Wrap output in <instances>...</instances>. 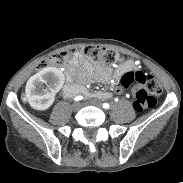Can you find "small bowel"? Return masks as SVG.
<instances>
[{
  "label": "small bowel",
  "mask_w": 183,
  "mask_h": 183,
  "mask_svg": "<svg viewBox=\"0 0 183 183\" xmlns=\"http://www.w3.org/2000/svg\"><path fill=\"white\" fill-rule=\"evenodd\" d=\"M81 67V75L84 82H88L91 79H102V80H109L113 76L114 77H121L126 72H139L134 62L129 61L125 65L118 68L115 73L110 68H102L100 66L95 67H89L86 63L83 61L79 62ZM80 88L79 93H85V90L83 87L78 86ZM94 96L99 99H106L112 96L110 92H96L94 93Z\"/></svg>",
  "instance_id": "1"
}]
</instances>
